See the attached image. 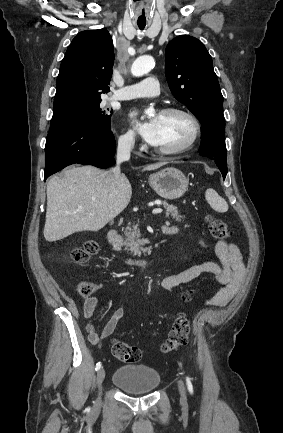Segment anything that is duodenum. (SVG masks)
<instances>
[{
	"label": "duodenum",
	"instance_id": "1",
	"mask_svg": "<svg viewBox=\"0 0 283 433\" xmlns=\"http://www.w3.org/2000/svg\"><path fill=\"white\" fill-rule=\"evenodd\" d=\"M161 231L163 234L169 233V231L166 227H162ZM107 241L111 247L118 248L121 244V238H120L118 231H116V230L109 231L107 234ZM147 261L148 260L146 258L133 259V260H129V263L131 265H134V266L142 267L147 263Z\"/></svg>",
	"mask_w": 283,
	"mask_h": 433
}]
</instances>
